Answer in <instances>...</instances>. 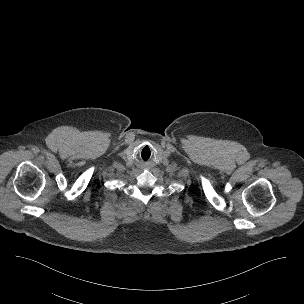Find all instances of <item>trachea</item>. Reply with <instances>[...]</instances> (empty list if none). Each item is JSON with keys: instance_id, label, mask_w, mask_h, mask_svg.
I'll list each match as a JSON object with an SVG mask.
<instances>
[{"instance_id": "3493384b", "label": "trachea", "mask_w": 304, "mask_h": 304, "mask_svg": "<svg viewBox=\"0 0 304 304\" xmlns=\"http://www.w3.org/2000/svg\"><path fill=\"white\" fill-rule=\"evenodd\" d=\"M152 156H153V151L149 147H144L139 152V159L142 162L149 161V159L152 158Z\"/></svg>"}]
</instances>
